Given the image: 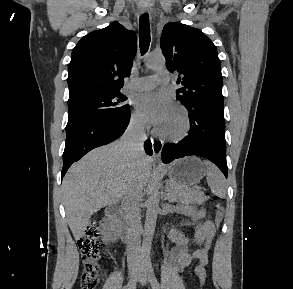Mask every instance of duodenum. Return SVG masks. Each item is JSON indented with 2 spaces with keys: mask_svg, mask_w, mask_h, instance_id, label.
I'll use <instances>...</instances> for the list:
<instances>
[{
  "mask_svg": "<svg viewBox=\"0 0 293 289\" xmlns=\"http://www.w3.org/2000/svg\"><path fill=\"white\" fill-rule=\"evenodd\" d=\"M107 212L117 222L121 240L125 243L131 242L134 234V225L132 221L125 216L124 205H112L108 207Z\"/></svg>",
  "mask_w": 293,
  "mask_h": 289,
  "instance_id": "obj_1",
  "label": "duodenum"
}]
</instances>
